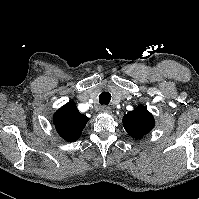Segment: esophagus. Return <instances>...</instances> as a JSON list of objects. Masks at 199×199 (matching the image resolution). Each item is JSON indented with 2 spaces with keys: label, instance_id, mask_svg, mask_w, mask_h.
<instances>
[{
  "label": "esophagus",
  "instance_id": "1",
  "mask_svg": "<svg viewBox=\"0 0 199 199\" xmlns=\"http://www.w3.org/2000/svg\"><path fill=\"white\" fill-rule=\"evenodd\" d=\"M101 111L104 112V113H109L110 107L104 105V106L101 107Z\"/></svg>",
  "mask_w": 199,
  "mask_h": 199
}]
</instances>
